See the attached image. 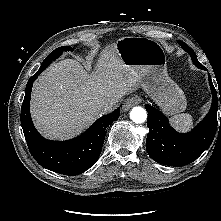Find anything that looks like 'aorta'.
Instances as JSON below:
<instances>
[{"label":"aorta","mask_w":221,"mask_h":221,"mask_svg":"<svg viewBox=\"0 0 221 221\" xmlns=\"http://www.w3.org/2000/svg\"><path fill=\"white\" fill-rule=\"evenodd\" d=\"M130 118L135 123H144L147 119V112L140 106L133 107L130 111Z\"/></svg>","instance_id":"762f6f07"}]
</instances>
